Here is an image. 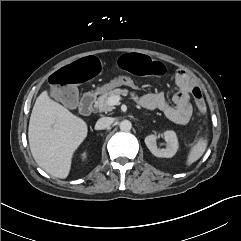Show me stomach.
<instances>
[{"label":"stomach","mask_w":241,"mask_h":241,"mask_svg":"<svg viewBox=\"0 0 241 241\" xmlns=\"http://www.w3.org/2000/svg\"><path fill=\"white\" fill-rule=\"evenodd\" d=\"M123 85L129 86V87H134V82L131 79V77H129L127 75H119V76L111 79L108 83H106L102 87L98 88V90L99 91H106V90H110V89H113L115 87H119V86H123Z\"/></svg>","instance_id":"stomach-1"}]
</instances>
